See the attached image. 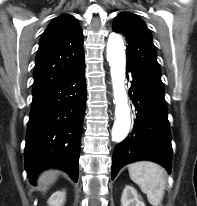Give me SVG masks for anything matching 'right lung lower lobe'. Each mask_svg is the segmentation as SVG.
I'll list each match as a JSON object with an SVG mask.
<instances>
[{
    "label": "right lung lower lobe",
    "instance_id": "obj_1",
    "mask_svg": "<svg viewBox=\"0 0 197 206\" xmlns=\"http://www.w3.org/2000/svg\"><path fill=\"white\" fill-rule=\"evenodd\" d=\"M85 64L51 88L33 95L28 121L25 169L31 182L49 167L65 170L77 182L85 112Z\"/></svg>",
    "mask_w": 197,
    "mask_h": 206
}]
</instances>
